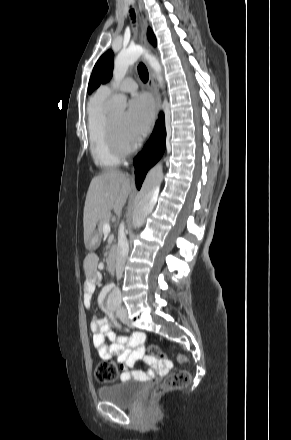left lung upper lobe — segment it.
I'll return each instance as SVG.
<instances>
[{
  "label": "left lung upper lobe",
  "instance_id": "1",
  "mask_svg": "<svg viewBox=\"0 0 291 440\" xmlns=\"http://www.w3.org/2000/svg\"><path fill=\"white\" fill-rule=\"evenodd\" d=\"M148 39L153 44L156 45V39L152 32V30L148 29ZM113 53L111 50H108L104 53L99 60L97 61L94 69L92 71L89 85H88V93H92L93 90L97 89L100 84H104L108 82L112 77V69H113Z\"/></svg>",
  "mask_w": 291,
  "mask_h": 440
}]
</instances>
